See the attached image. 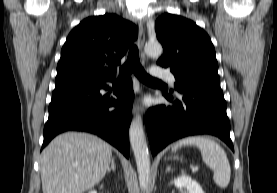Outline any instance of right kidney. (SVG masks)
Here are the masks:
<instances>
[{"mask_svg": "<svg viewBox=\"0 0 277 193\" xmlns=\"http://www.w3.org/2000/svg\"><path fill=\"white\" fill-rule=\"evenodd\" d=\"M88 193H97L95 190H93V191H90V192H88Z\"/></svg>", "mask_w": 277, "mask_h": 193, "instance_id": "right-kidney-1", "label": "right kidney"}]
</instances>
